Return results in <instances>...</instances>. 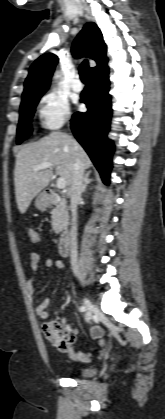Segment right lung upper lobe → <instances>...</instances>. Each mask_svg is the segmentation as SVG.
I'll list each match as a JSON object with an SVG mask.
<instances>
[{
    "instance_id": "right-lung-upper-lobe-1",
    "label": "right lung upper lobe",
    "mask_w": 165,
    "mask_h": 419,
    "mask_svg": "<svg viewBox=\"0 0 165 419\" xmlns=\"http://www.w3.org/2000/svg\"><path fill=\"white\" fill-rule=\"evenodd\" d=\"M72 54L75 58L87 55L96 61L97 66L90 68V76L108 68L106 45L95 23H87L78 34L72 46ZM56 64L57 56L52 53L40 56L32 64L24 83L22 101L34 95L44 93L48 89Z\"/></svg>"
}]
</instances>
